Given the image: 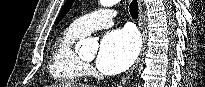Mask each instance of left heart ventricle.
Listing matches in <instances>:
<instances>
[{"mask_svg": "<svg viewBox=\"0 0 205 87\" xmlns=\"http://www.w3.org/2000/svg\"><path fill=\"white\" fill-rule=\"evenodd\" d=\"M94 55H95V54H93V55L90 56V57H83V59H85V60L88 61V62H91V61L93 60V58H94Z\"/></svg>", "mask_w": 205, "mask_h": 87, "instance_id": "obj_1", "label": "left heart ventricle"}]
</instances>
